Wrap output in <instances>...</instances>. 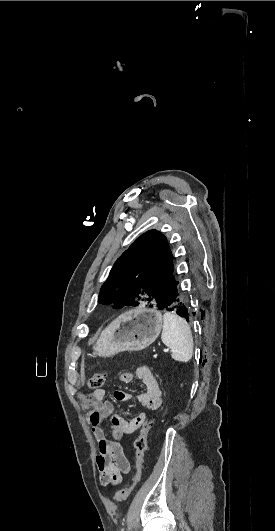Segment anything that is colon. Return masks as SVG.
<instances>
[{
  "label": "colon",
  "mask_w": 275,
  "mask_h": 531,
  "mask_svg": "<svg viewBox=\"0 0 275 531\" xmlns=\"http://www.w3.org/2000/svg\"><path fill=\"white\" fill-rule=\"evenodd\" d=\"M106 380V372L99 371L96 372L90 379L89 389L90 390H99L102 389ZM156 424V419L154 417H149L147 421L144 422L143 427L140 431V435L137 437L135 446H136V472L132 477V480L122 489L115 493L113 499L116 503H122L126 501L131 495L137 483L140 481L142 476V471L144 467V453L147 447L146 438L151 434L154 425Z\"/></svg>",
  "instance_id": "colon-1"
}]
</instances>
